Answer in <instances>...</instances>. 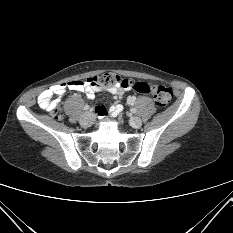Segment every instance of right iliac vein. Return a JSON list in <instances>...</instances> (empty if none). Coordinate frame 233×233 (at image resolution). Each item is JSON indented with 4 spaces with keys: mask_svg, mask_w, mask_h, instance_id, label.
Instances as JSON below:
<instances>
[{
    "mask_svg": "<svg viewBox=\"0 0 233 233\" xmlns=\"http://www.w3.org/2000/svg\"><path fill=\"white\" fill-rule=\"evenodd\" d=\"M94 114L93 113H90V112H86L84 113L81 118H80V124L83 126V127H88L90 125H92L93 121H94Z\"/></svg>",
    "mask_w": 233,
    "mask_h": 233,
    "instance_id": "obj_1",
    "label": "right iliac vein"
}]
</instances>
